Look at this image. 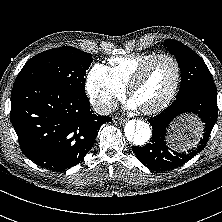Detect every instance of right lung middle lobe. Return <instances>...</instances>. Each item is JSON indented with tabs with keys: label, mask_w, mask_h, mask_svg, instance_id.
<instances>
[{
	"label": "right lung middle lobe",
	"mask_w": 222,
	"mask_h": 222,
	"mask_svg": "<svg viewBox=\"0 0 222 222\" xmlns=\"http://www.w3.org/2000/svg\"><path fill=\"white\" fill-rule=\"evenodd\" d=\"M90 53L65 46L37 54L26 62L14 84L39 81L85 93V74L92 63Z\"/></svg>",
	"instance_id": "obj_1"
}]
</instances>
